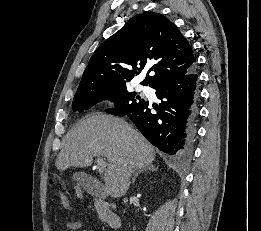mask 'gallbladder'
I'll return each mask as SVG.
<instances>
[{
    "label": "gallbladder",
    "mask_w": 261,
    "mask_h": 231,
    "mask_svg": "<svg viewBox=\"0 0 261 231\" xmlns=\"http://www.w3.org/2000/svg\"><path fill=\"white\" fill-rule=\"evenodd\" d=\"M73 180L79 182L81 186H83V188L90 193L98 194L100 196L104 194L102 186L99 185L95 180H93L90 176H88L84 172L74 173Z\"/></svg>",
    "instance_id": "bac80fb5"
}]
</instances>
